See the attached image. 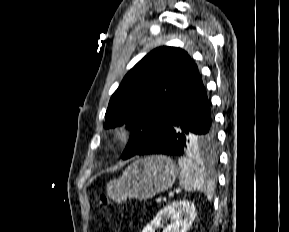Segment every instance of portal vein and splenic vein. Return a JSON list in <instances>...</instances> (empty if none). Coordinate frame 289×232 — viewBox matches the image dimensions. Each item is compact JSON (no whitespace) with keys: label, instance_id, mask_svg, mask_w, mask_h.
Here are the masks:
<instances>
[{"label":"portal vein and splenic vein","instance_id":"portal-vein-and-splenic-vein-1","mask_svg":"<svg viewBox=\"0 0 289 232\" xmlns=\"http://www.w3.org/2000/svg\"><path fill=\"white\" fill-rule=\"evenodd\" d=\"M177 192H181V189H178ZM161 201H162V198H160V197H158V198L156 199V202H157V203H161Z\"/></svg>","mask_w":289,"mask_h":232}]
</instances>
